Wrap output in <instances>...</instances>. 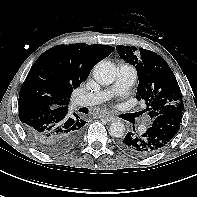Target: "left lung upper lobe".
Wrapping results in <instances>:
<instances>
[{"instance_id": "obj_1", "label": "left lung upper lobe", "mask_w": 197, "mask_h": 197, "mask_svg": "<svg viewBox=\"0 0 197 197\" xmlns=\"http://www.w3.org/2000/svg\"><path fill=\"white\" fill-rule=\"evenodd\" d=\"M118 54L126 62L136 66L139 85L138 100H144L149 117L173 112L184 108L182 93L169 65L156 53L132 46L118 45Z\"/></svg>"}]
</instances>
